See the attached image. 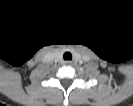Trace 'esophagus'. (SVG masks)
<instances>
[{
	"mask_svg": "<svg viewBox=\"0 0 133 106\" xmlns=\"http://www.w3.org/2000/svg\"><path fill=\"white\" fill-rule=\"evenodd\" d=\"M65 64L66 65H71L72 64V61L67 60V61H65Z\"/></svg>",
	"mask_w": 133,
	"mask_h": 106,
	"instance_id": "1",
	"label": "esophagus"
}]
</instances>
